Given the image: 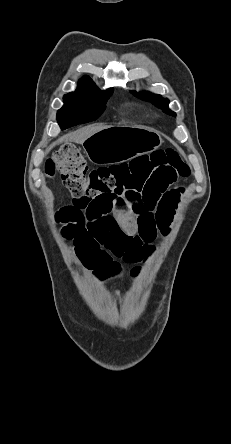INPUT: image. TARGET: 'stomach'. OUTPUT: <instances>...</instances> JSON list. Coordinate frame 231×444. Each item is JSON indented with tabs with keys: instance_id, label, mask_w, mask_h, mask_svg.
Here are the masks:
<instances>
[{
	"instance_id": "0dacf381",
	"label": "stomach",
	"mask_w": 231,
	"mask_h": 444,
	"mask_svg": "<svg viewBox=\"0 0 231 444\" xmlns=\"http://www.w3.org/2000/svg\"><path fill=\"white\" fill-rule=\"evenodd\" d=\"M160 134L141 125L113 126L98 131L83 142L87 158L96 164L120 163L157 149Z\"/></svg>"
}]
</instances>
